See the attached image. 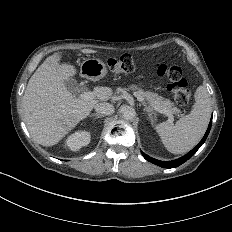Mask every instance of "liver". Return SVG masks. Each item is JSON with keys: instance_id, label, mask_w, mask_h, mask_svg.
<instances>
[{"instance_id": "liver-1", "label": "liver", "mask_w": 232, "mask_h": 232, "mask_svg": "<svg viewBox=\"0 0 232 232\" xmlns=\"http://www.w3.org/2000/svg\"><path fill=\"white\" fill-rule=\"evenodd\" d=\"M83 54H96L98 50L84 48ZM62 52L48 56L29 79L23 95L25 122L38 144L51 147L64 140L86 118L98 102L109 101L114 90L108 86H95L91 99H72L65 81L78 73L70 62H61Z\"/></svg>"}]
</instances>
